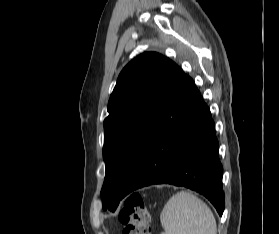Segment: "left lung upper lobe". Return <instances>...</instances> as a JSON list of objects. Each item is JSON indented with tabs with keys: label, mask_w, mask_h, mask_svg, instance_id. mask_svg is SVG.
<instances>
[{
	"label": "left lung upper lobe",
	"mask_w": 279,
	"mask_h": 234,
	"mask_svg": "<svg viewBox=\"0 0 279 234\" xmlns=\"http://www.w3.org/2000/svg\"><path fill=\"white\" fill-rule=\"evenodd\" d=\"M177 69L169 58L146 52L121 71L104 120V210L115 211L122 199V188L146 130Z\"/></svg>",
	"instance_id": "left-lung-upper-lobe-1"
}]
</instances>
